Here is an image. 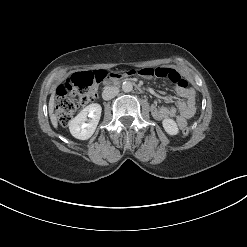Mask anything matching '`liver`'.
Listing matches in <instances>:
<instances>
[{"mask_svg": "<svg viewBox=\"0 0 247 247\" xmlns=\"http://www.w3.org/2000/svg\"><path fill=\"white\" fill-rule=\"evenodd\" d=\"M54 106H55V99H54V93H52L48 104V110H49L51 123L54 128H57L58 121H57V116L54 114Z\"/></svg>", "mask_w": 247, "mask_h": 247, "instance_id": "6515ba94", "label": "liver"}]
</instances>
